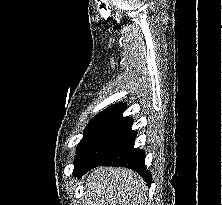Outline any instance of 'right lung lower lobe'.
I'll return each instance as SVG.
<instances>
[{"instance_id":"98d812e1","label":"right lung lower lobe","mask_w":222,"mask_h":205,"mask_svg":"<svg viewBox=\"0 0 222 205\" xmlns=\"http://www.w3.org/2000/svg\"><path fill=\"white\" fill-rule=\"evenodd\" d=\"M126 105L121 104L92 131L75 158L74 176L97 166H123L138 172L150 186L151 174L146 170L144 150L134 148L136 132L131 129L133 118L123 117Z\"/></svg>"}]
</instances>
